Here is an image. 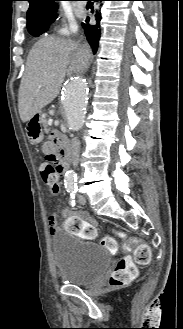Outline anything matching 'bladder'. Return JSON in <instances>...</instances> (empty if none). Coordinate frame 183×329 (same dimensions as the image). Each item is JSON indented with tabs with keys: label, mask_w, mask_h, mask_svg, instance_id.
I'll use <instances>...</instances> for the list:
<instances>
[{
	"label": "bladder",
	"mask_w": 183,
	"mask_h": 329,
	"mask_svg": "<svg viewBox=\"0 0 183 329\" xmlns=\"http://www.w3.org/2000/svg\"><path fill=\"white\" fill-rule=\"evenodd\" d=\"M51 251L59 279L68 284L94 285L111 267V257L103 247L71 232L56 233Z\"/></svg>",
	"instance_id": "31cf9c89"
}]
</instances>
